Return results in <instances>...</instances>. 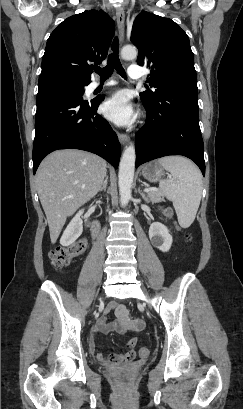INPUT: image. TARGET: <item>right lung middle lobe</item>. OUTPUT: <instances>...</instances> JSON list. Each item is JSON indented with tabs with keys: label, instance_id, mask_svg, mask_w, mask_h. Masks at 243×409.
Masks as SVG:
<instances>
[{
	"label": "right lung middle lobe",
	"instance_id": "right-lung-middle-lobe-1",
	"mask_svg": "<svg viewBox=\"0 0 243 409\" xmlns=\"http://www.w3.org/2000/svg\"><path fill=\"white\" fill-rule=\"evenodd\" d=\"M86 85L62 76L42 78L38 83L37 100L55 95L83 96Z\"/></svg>",
	"mask_w": 243,
	"mask_h": 409
}]
</instances>
